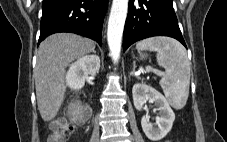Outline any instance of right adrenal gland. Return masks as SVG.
I'll return each instance as SVG.
<instances>
[{"label":"right adrenal gland","instance_id":"2a0ac1e0","mask_svg":"<svg viewBox=\"0 0 227 142\" xmlns=\"http://www.w3.org/2000/svg\"><path fill=\"white\" fill-rule=\"evenodd\" d=\"M93 53H96V51H95V50H93Z\"/></svg>","mask_w":227,"mask_h":142}]
</instances>
